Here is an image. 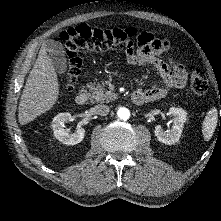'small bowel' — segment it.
<instances>
[{
	"instance_id": "small-bowel-1",
	"label": "small bowel",
	"mask_w": 221,
	"mask_h": 221,
	"mask_svg": "<svg viewBox=\"0 0 221 221\" xmlns=\"http://www.w3.org/2000/svg\"><path fill=\"white\" fill-rule=\"evenodd\" d=\"M137 45V49H134L132 43L126 47L127 61L134 65H151L164 84L137 90L144 94L147 101L164 98L170 89H181L186 85L187 74L184 68L175 62L168 64L159 57L169 49L167 40L142 32L137 38Z\"/></svg>"
}]
</instances>
